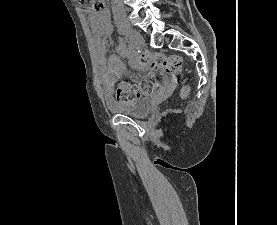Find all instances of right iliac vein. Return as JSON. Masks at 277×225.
Segmentation results:
<instances>
[{"label": "right iliac vein", "instance_id": "right-iliac-vein-1", "mask_svg": "<svg viewBox=\"0 0 277 225\" xmlns=\"http://www.w3.org/2000/svg\"><path fill=\"white\" fill-rule=\"evenodd\" d=\"M121 33L131 40L135 46L141 47L144 45V39L137 31L131 28H122Z\"/></svg>", "mask_w": 277, "mask_h": 225}]
</instances>
